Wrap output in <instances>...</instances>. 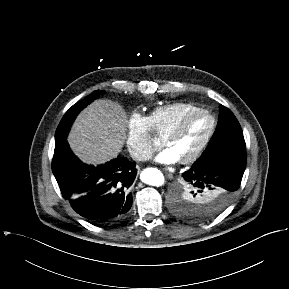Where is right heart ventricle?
<instances>
[{"mask_svg": "<svg viewBox=\"0 0 289 289\" xmlns=\"http://www.w3.org/2000/svg\"><path fill=\"white\" fill-rule=\"evenodd\" d=\"M197 109L193 103L174 102L154 108L148 118L154 132L163 138L184 115Z\"/></svg>", "mask_w": 289, "mask_h": 289, "instance_id": "obj_1", "label": "right heart ventricle"}]
</instances>
